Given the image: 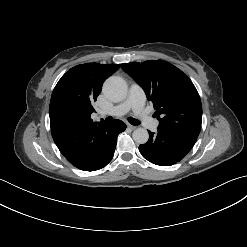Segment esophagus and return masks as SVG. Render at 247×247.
Returning <instances> with one entry per match:
<instances>
[{
	"mask_svg": "<svg viewBox=\"0 0 247 247\" xmlns=\"http://www.w3.org/2000/svg\"><path fill=\"white\" fill-rule=\"evenodd\" d=\"M127 127L131 130H134L137 128V126L131 125V124H127Z\"/></svg>",
	"mask_w": 247,
	"mask_h": 247,
	"instance_id": "1",
	"label": "esophagus"
}]
</instances>
